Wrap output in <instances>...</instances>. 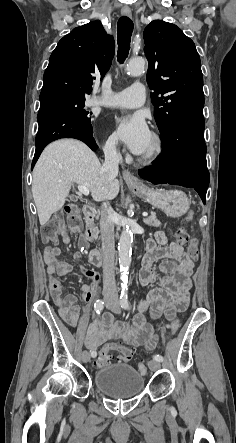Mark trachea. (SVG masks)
I'll use <instances>...</instances> for the list:
<instances>
[{
  "label": "trachea",
  "instance_id": "obj_1",
  "mask_svg": "<svg viewBox=\"0 0 236 443\" xmlns=\"http://www.w3.org/2000/svg\"><path fill=\"white\" fill-rule=\"evenodd\" d=\"M133 22L127 16L119 19L117 24L118 62L123 63L128 57L130 41L133 32Z\"/></svg>",
  "mask_w": 236,
  "mask_h": 443
}]
</instances>
